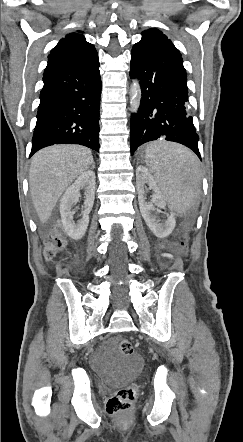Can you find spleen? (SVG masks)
I'll return each instance as SVG.
<instances>
[{"label": "spleen", "instance_id": "spleen-1", "mask_svg": "<svg viewBox=\"0 0 243 442\" xmlns=\"http://www.w3.org/2000/svg\"><path fill=\"white\" fill-rule=\"evenodd\" d=\"M150 170L161 193L170 200L168 214H192L196 202L198 161L188 149L173 143H150L145 154Z\"/></svg>", "mask_w": 243, "mask_h": 442}]
</instances>
